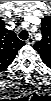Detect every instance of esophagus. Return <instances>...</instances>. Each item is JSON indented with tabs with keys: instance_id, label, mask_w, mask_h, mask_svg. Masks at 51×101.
<instances>
[{
	"instance_id": "1",
	"label": "esophagus",
	"mask_w": 51,
	"mask_h": 101,
	"mask_svg": "<svg viewBox=\"0 0 51 101\" xmlns=\"http://www.w3.org/2000/svg\"><path fill=\"white\" fill-rule=\"evenodd\" d=\"M26 42H27V44L32 45L34 43V38L29 37Z\"/></svg>"
}]
</instances>
